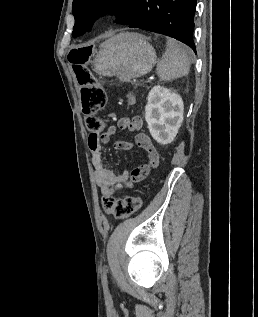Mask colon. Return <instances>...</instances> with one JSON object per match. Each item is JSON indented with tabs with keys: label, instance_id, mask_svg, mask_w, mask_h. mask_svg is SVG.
Masks as SVG:
<instances>
[{
	"label": "colon",
	"instance_id": "5ec220e1",
	"mask_svg": "<svg viewBox=\"0 0 258 317\" xmlns=\"http://www.w3.org/2000/svg\"><path fill=\"white\" fill-rule=\"evenodd\" d=\"M91 53L92 49L89 47H77L69 52L68 60L80 87L82 112L86 118V125L92 133H98L102 126L98 113L104 108L107 97L104 88L86 66ZM128 101L131 103L132 98L129 97ZM142 203V198L138 195L122 199L104 195L102 199L104 211L116 219H125L135 214L141 208Z\"/></svg>",
	"mask_w": 258,
	"mask_h": 317
}]
</instances>
